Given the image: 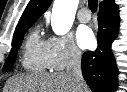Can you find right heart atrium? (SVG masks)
<instances>
[{"instance_id":"right-heart-atrium-1","label":"right heart atrium","mask_w":127,"mask_h":92,"mask_svg":"<svg viewBox=\"0 0 127 92\" xmlns=\"http://www.w3.org/2000/svg\"><path fill=\"white\" fill-rule=\"evenodd\" d=\"M45 57L48 67L58 71L79 63L82 52L70 35L50 36L45 41Z\"/></svg>"}]
</instances>
